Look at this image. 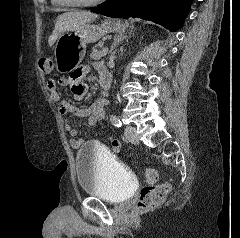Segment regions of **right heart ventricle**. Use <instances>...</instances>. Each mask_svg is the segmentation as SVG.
<instances>
[{"instance_id":"obj_1","label":"right heart ventricle","mask_w":240,"mask_h":238,"mask_svg":"<svg viewBox=\"0 0 240 238\" xmlns=\"http://www.w3.org/2000/svg\"><path fill=\"white\" fill-rule=\"evenodd\" d=\"M52 3L56 4V5H66L64 3V0H52Z\"/></svg>"}]
</instances>
